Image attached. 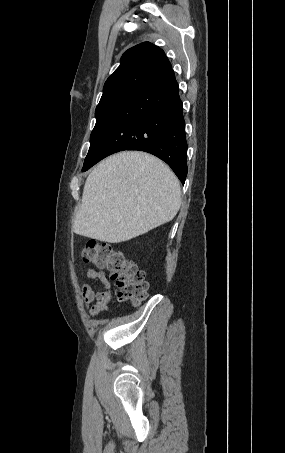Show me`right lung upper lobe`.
<instances>
[{
  "instance_id": "1",
  "label": "right lung upper lobe",
  "mask_w": 285,
  "mask_h": 453,
  "mask_svg": "<svg viewBox=\"0 0 285 453\" xmlns=\"http://www.w3.org/2000/svg\"><path fill=\"white\" fill-rule=\"evenodd\" d=\"M120 62V66L105 82L99 104L135 93L146 82L172 67L164 51L150 42L128 49Z\"/></svg>"
}]
</instances>
